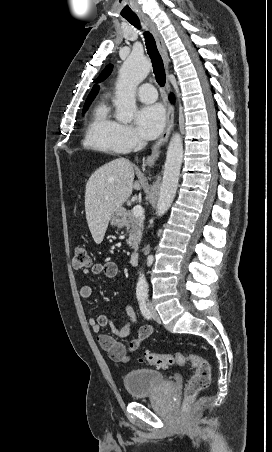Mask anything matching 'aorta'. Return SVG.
Segmentation results:
<instances>
[{
	"instance_id": "aorta-1",
	"label": "aorta",
	"mask_w": 272,
	"mask_h": 452,
	"mask_svg": "<svg viewBox=\"0 0 272 452\" xmlns=\"http://www.w3.org/2000/svg\"><path fill=\"white\" fill-rule=\"evenodd\" d=\"M150 64L143 55L131 54L122 64L116 86V118L131 121L136 113L135 90L146 78ZM183 158V142L179 133L173 134L167 149L162 184L157 203V216H163L175 197ZM148 284L143 272H139L136 294L145 295Z\"/></svg>"
}]
</instances>
